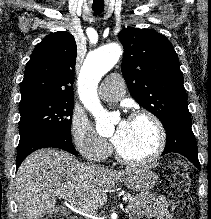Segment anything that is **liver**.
I'll return each instance as SVG.
<instances>
[{
	"mask_svg": "<svg viewBox=\"0 0 211 219\" xmlns=\"http://www.w3.org/2000/svg\"><path fill=\"white\" fill-rule=\"evenodd\" d=\"M136 170L121 172L94 164H81L69 153L42 149L29 155L15 177L17 219H42L55 211L56 197L73 199L85 210H97L107 202L118 180Z\"/></svg>",
	"mask_w": 211,
	"mask_h": 219,
	"instance_id": "6515ba94",
	"label": "liver"
}]
</instances>
